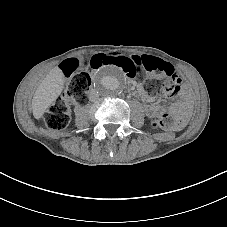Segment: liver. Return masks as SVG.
Returning a JSON list of instances; mask_svg holds the SVG:
<instances>
[{
	"instance_id": "6515ba94",
	"label": "liver",
	"mask_w": 227,
	"mask_h": 227,
	"mask_svg": "<svg viewBox=\"0 0 227 227\" xmlns=\"http://www.w3.org/2000/svg\"><path fill=\"white\" fill-rule=\"evenodd\" d=\"M65 77L62 71L55 67L42 80L32 98V112L35 119H40L46 109L58 98L63 90Z\"/></svg>"
}]
</instances>
